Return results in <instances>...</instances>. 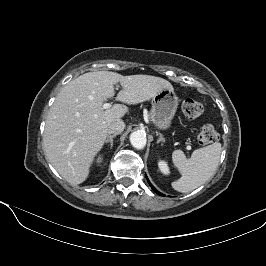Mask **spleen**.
Returning a JSON list of instances; mask_svg holds the SVG:
<instances>
[{
  "instance_id": "spleen-1",
  "label": "spleen",
  "mask_w": 266,
  "mask_h": 266,
  "mask_svg": "<svg viewBox=\"0 0 266 266\" xmlns=\"http://www.w3.org/2000/svg\"><path fill=\"white\" fill-rule=\"evenodd\" d=\"M221 155V144L215 142L194 150L189 159L181 150L172 153V162L181 173L180 179L172 182L178 192L188 193L205 183L217 170Z\"/></svg>"
}]
</instances>
